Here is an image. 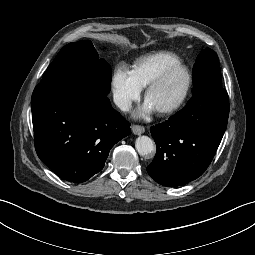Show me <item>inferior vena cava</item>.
Instances as JSON below:
<instances>
[{
  "label": "inferior vena cava",
  "mask_w": 255,
  "mask_h": 255,
  "mask_svg": "<svg viewBox=\"0 0 255 255\" xmlns=\"http://www.w3.org/2000/svg\"><path fill=\"white\" fill-rule=\"evenodd\" d=\"M113 100L122 111H128L131 107V101L120 93H115Z\"/></svg>",
  "instance_id": "obj_1"
}]
</instances>
